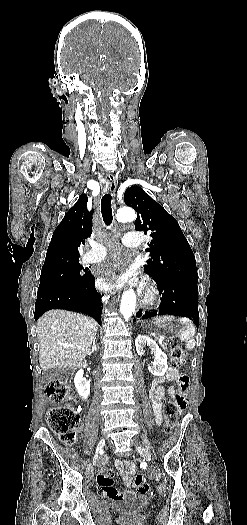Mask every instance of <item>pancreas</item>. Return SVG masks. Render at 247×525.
I'll return each mask as SVG.
<instances>
[{
  "label": "pancreas",
  "mask_w": 247,
  "mask_h": 525,
  "mask_svg": "<svg viewBox=\"0 0 247 525\" xmlns=\"http://www.w3.org/2000/svg\"><path fill=\"white\" fill-rule=\"evenodd\" d=\"M161 347H163V349H167V345H161Z\"/></svg>",
  "instance_id": "obj_1"
}]
</instances>
